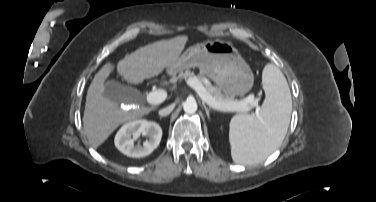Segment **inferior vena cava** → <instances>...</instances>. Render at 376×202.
Masks as SVG:
<instances>
[{
  "label": "inferior vena cava",
  "instance_id": "inferior-vena-cava-1",
  "mask_svg": "<svg viewBox=\"0 0 376 202\" xmlns=\"http://www.w3.org/2000/svg\"><path fill=\"white\" fill-rule=\"evenodd\" d=\"M173 109H174V105H169V106L159 110V115L162 116V117L167 116L173 111Z\"/></svg>",
  "mask_w": 376,
  "mask_h": 202
}]
</instances>
